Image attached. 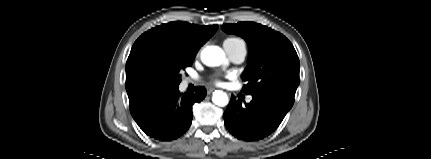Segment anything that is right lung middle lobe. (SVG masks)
<instances>
[{
    "label": "right lung middle lobe",
    "mask_w": 431,
    "mask_h": 159,
    "mask_svg": "<svg viewBox=\"0 0 431 159\" xmlns=\"http://www.w3.org/2000/svg\"><path fill=\"white\" fill-rule=\"evenodd\" d=\"M194 58L168 49L148 47L140 53L138 63L153 86L170 88L179 85L181 72L192 65Z\"/></svg>",
    "instance_id": "right-lung-middle-lobe-1"
}]
</instances>
